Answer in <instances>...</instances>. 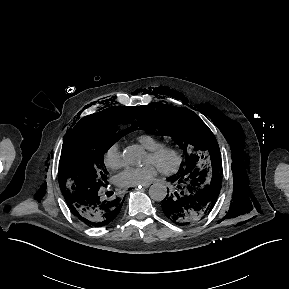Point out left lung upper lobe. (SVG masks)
<instances>
[{"instance_id":"obj_1","label":"left lung upper lobe","mask_w":289,"mask_h":289,"mask_svg":"<svg viewBox=\"0 0 289 289\" xmlns=\"http://www.w3.org/2000/svg\"><path fill=\"white\" fill-rule=\"evenodd\" d=\"M138 126L156 135L171 136L183 149L186 162L177 174L183 177L201 171L206 175L222 174L221 155L217 140L206 124L191 110L166 104L151 103L136 108Z\"/></svg>"}]
</instances>
